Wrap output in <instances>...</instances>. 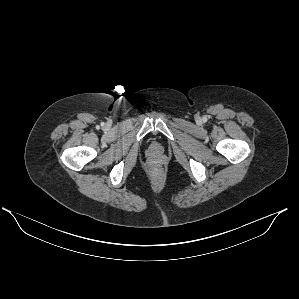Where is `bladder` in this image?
I'll use <instances>...</instances> for the list:
<instances>
[{"label": "bladder", "mask_w": 299, "mask_h": 299, "mask_svg": "<svg viewBox=\"0 0 299 299\" xmlns=\"http://www.w3.org/2000/svg\"><path fill=\"white\" fill-rule=\"evenodd\" d=\"M152 148H153V149H156V148H157V145H156L155 143H153V144H152Z\"/></svg>", "instance_id": "31cf9c89"}]
</instances>
